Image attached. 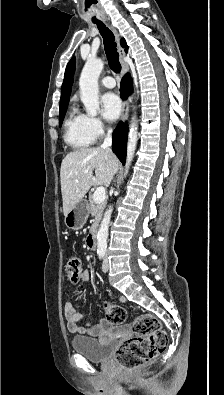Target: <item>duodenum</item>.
<instances>
[{"instance_id":"duodenum-1","label":"duodenum","mask_w":224,"mask_h":395,"mask_svg":"<svg viewBox=\"0 0 224 395\" xmlns=\"http://www.w3.org/2000/svg\"><path fill=\"white\" fill-rule=\"evenodd\" d=\"M98 224L94 223L91 227V231L87 237V246L89 249L91 250H95L96 249V245H97V234H98Z\"/></svg>"}]
</instances>
